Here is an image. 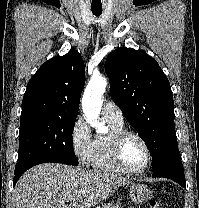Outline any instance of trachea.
Wrapping results in <instances>:
<instances>
[{
  "instance_id": "3493384b",
  "label": "trachea",
  "mask_w": 199,
  "mask_h": 208,
  "mask_svg": "<svg viewBox=\"0 0 199 208\" xmlns=\"http://www.w3.org/2000/svg\"><path fill=\"white\" fill-rule=\"evenodd\" d=\"M92 13L95 16H99L102 13V9H92Z\"/></svg>"
}]
</instances>
